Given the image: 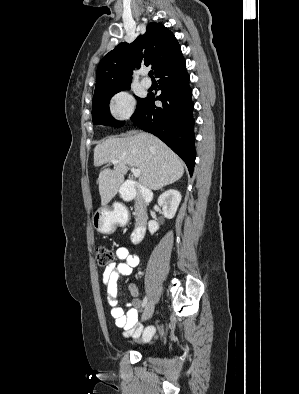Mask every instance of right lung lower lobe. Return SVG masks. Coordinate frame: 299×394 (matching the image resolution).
I'll use <instances>...</instances> for the list:
<instances>
[{
  "mask_svg": "<svg viewBox=\"0 0 299 394\" xmlns=\"http://www.w3.org/2000/svg\"><path fill=\"white\" fill-rule=\"evenodd\" d=\"M156 77L160 78L158 82L161 94L156 98L154 94H148L131 120L144 131L153 133L166 143L184 160L192 175L196 157L193 104L184 57L181 56L164 68ZM155 100H160L162 106L156 107Z\"/></svg>",
  "mask_w": 299,
  "mask_h": 394,
  "instance_id": "98d812e1",
  "label": "right lung lower lobe"
}]
</instances>
